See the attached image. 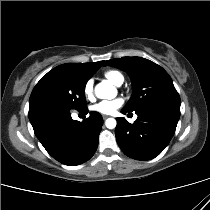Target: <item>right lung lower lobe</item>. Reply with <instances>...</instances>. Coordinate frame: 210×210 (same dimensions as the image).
<instances>
[{
	"label": "right lung lower lobe",
	"instance_id": "98d812e1",
	"mask_svg": "<svg viewBox=\"0 0 210 210\" xmlns=\"http://www.w3.org/2000/svg\"><path fill=\"white\" fill-rule=\"evenodd\" d=\"M88 113V109L81 110ZM34 133L46 151L57 161L76 166L88 161L98 146L103 119L98 112L82 122L73 120L70 112L55 111L30 120Z\"/></svg>",
	"mask_w": 210,
	"mask_h": 210
}]
</instances>
